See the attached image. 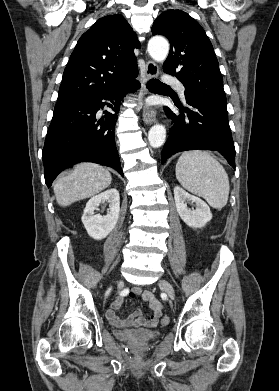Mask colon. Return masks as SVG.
<instances>
[{
    "label": "colon",
    "instance_id": "5ec220e1",
    "mask_svg": "<svg viewBox=\"0 0 279 391\" xmlns=\"http://www.w3.org/2000/svg\"><path fill=\"white\" fill-rule=\"evenodd\" d=\"M168 322H169V318H168L167 316L162 317L161 323H162L163 325L168 324Z\"/></svg>",
    "mask_w": 279,
    "mask_h": 391
}]
</instances>
